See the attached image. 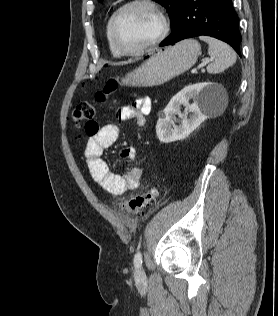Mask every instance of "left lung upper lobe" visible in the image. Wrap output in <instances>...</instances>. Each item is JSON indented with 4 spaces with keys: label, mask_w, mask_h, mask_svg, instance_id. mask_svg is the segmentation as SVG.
<instances>
[{
    "label": "left lung upper lobe",
    "mask_w": 278,
    "mask_h": 316,
    "mask_svg": "<svg viewBox=\"0 0 278 316\" xmlns=\"http://www.w3.org/2000/svg\"><path fill=\"white\" fill-rule=\"evenodd\" d=\"M154 1L161 4L167 9L169 13L170 21L172 23V29H173L174 26L176 25L180 11L183 6V2L185 0H154Z\"/></svg>",
    "instance_id": "1"
}]
</instances>
